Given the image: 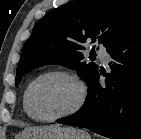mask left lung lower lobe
Segmentation results:
<instances>
[{
	"instance_id": "1",
	"label": "left lung lower lobe",
	"mask_w": 141,
	"mask_h": 139,
	"mask_svg": "<svg viewBox=\"0 0 141 139\" xmlns=\"http://www.w3.org/2000/svg\"><path fill=\"white\" fill-rule=\"evenodd\" d=\"M113 62L105 85L97 71L82 108L58 123L87 128L112 139H141V24L107 47Z\"/></svg>"
}]
</instances>
